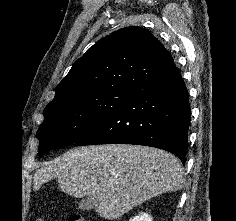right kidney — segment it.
<instances>
[{
    "mask_svg": "<svg viewBox=\"0 0 236 221\" xmlns=\"http://www.w3.org/2000/svg\"><path fill=\"white\" fill-rule=\"evenodd\" d=\"M129 221H152V217L147 213H143L135 216L133 219H130Z\"/></svg>",
    "mask_w": 236,
    "mask_h": 221,
    "instance_id": "ca27d5eb",
    "label": "right kidney"
}]
</instances>
